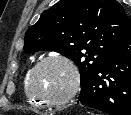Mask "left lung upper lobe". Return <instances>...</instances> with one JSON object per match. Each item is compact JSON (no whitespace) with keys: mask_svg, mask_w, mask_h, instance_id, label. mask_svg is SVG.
<instances>
[{"mask_svg":"<svg viewBox=\"0 0 131 115\" xmlns=\"http://www.w3.org/2000/svg\"><path fill=\"white\" fill-rule=\"evenodd\" d=\"M130 32L131 22L116 0H60L27 30L24 51H56L73 60L83 91Z\"/></svg>","mask_w":131,"mask_h":115,"instance_id":"1","label":"left lung upper lobe"}]
</instances>
